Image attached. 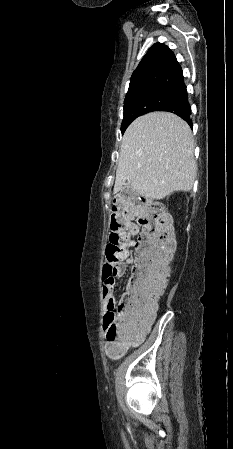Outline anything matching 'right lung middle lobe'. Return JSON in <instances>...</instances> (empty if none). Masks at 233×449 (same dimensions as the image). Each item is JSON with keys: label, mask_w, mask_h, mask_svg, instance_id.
I'll return each mask as SVG.
<instances>
[{"label": "right lung middle lobe", "mask_w": 233, "mask_h": 449, "mask_svg": "<svg viewBox=\"0 0 233 449\" xmlns=\"http://www.w3.org/2000/svg\"><path fill=\"white\" fill-rule=\"evenodd\" d=\"M183 97V90L166 87L150 88L126 95L123 107L122 133L137 117L151 111L160 110L165 105L179 101Z\"/></svg>", "instance_id": "right-lung-middle-lobe-1"}]
</instances>
